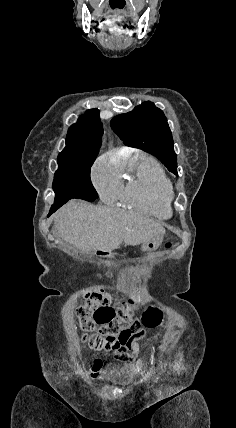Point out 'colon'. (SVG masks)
<instances>
[{"mask_svg": "<svg viewBox=\"0 0 236 428\" xmlns=\"http://www.w3.org/2000/svg\"><path fill=\"white\" fill-rule=\"evenodd\" d=\"M171 243H167L170 247ZM110 295L102 288L90 290L84 303L78 309L82 340L96 350H117L140 330V323L133 318L136 308L133 300L118 307L110 306ZM162 322L160 312L146 311L141 323L148 329L158 327Z\"/></svg>", "mask_w": 236, "mask_h": 428, "instance_id": "1", "label": "colon"}]
</instances>
